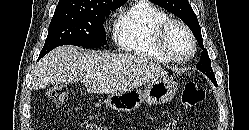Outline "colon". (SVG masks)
<instances>
[{
    "mask_svg": "<svg viewBox=\"0 0 249 130\" xmlns=\"http://www.w3.org/2000/svg\"><path fill=\"white\" fill-rule=\"evenodd\" d=\"M205 96V90L198 83L194 81L188 82L182 91V104L188 108L195 107L205 99ZM46 97L55 105H63L67 101V88L62 85L54 86L47 91ZM84 127L86 130H109L95 124H85ZM157 130H172V125H167Z\"/></svg>",
    "mask_w": 249,
    "mask_h": 130,
    "instance_id": "5ec220e1",
    "label": "colon"
}]
</instances>
